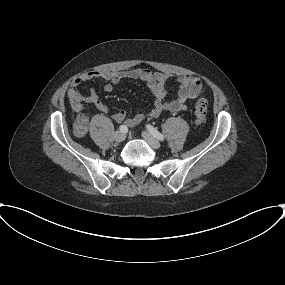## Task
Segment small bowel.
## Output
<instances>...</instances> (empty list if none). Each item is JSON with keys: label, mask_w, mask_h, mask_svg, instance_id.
<instances>
[{"label": "small bowel", "mask_w": 285, "mask_h": 285, "mask_svg": "<svg viewBox=\"0 0 285 285\" xmlns=\"http://www.w3.org/2000/svg\"><path fill=\"white\" fill-rule=\"evenodd\" d=\"M96 78L103 79L107 82L104 85L106 92H111L113 85L125 79L142 80L149 87L154 97V104L148 112H140L133 117H127L124 110H119L112 114V118L116 122H122L127 127L138 125L146 117H158L163 112L185 110L187 108L186 103L196 99L202 89L200 78L191 75L154 72L147 68H135L124 71H90L76 78L67 92L70 105L77 113V124L85 125L88 122L89 117L84 112L85 103L92 104L101 112L109 111L108 106L100 100L93 89H90L87 94L80 92V87L83 83ZM171 78H174L178 84L177 95L172 100H166V84Z\"/></svg>", "instance_id": "1"}]
</instances>
